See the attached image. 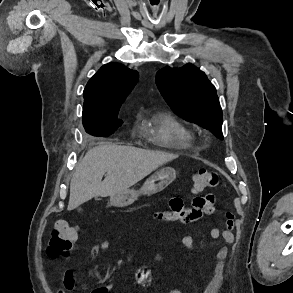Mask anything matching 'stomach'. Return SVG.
I'll use <instances>...</instances> for the list:
<instances>
[{
  "instance_id": "obj_1",
  "label": "stomach",
  "mask_w": 293,
  "mask_h": 293,
  "mask_svg": "<svg viewBox=\"0 0 293 293\" xmlns=\"http://www.w3.org/2000/svg\"><path fill=\"white\" fill-rule=\"evenodd\" d=\"M176 177L173 168H164L149 177L140 190H127L123 193L110 196V203L115 207H126L137 200L140 194L152 195L163 191Z\"/></svg>"
}]
</instances>
